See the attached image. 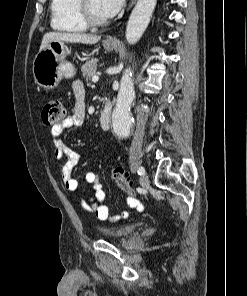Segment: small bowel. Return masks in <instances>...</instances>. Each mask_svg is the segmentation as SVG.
Instances as JSON below:
<instances>
[{"instance_id": "small-bowel-1", "label": "small bowel", "mask_w": 247, "mask_h": 296, "mask_svg": "<svg viewBox=\"0 0 247 296\" xmlns=\"http://www.w3.org/2000/svg\"><path fill=\"white\" fill-rule=\"evenodd\" d=\"M74 95V102L69 115L64 121L55 125L50 130V140L54 147V154L57 160H61L64 156L67 161L62 167L61 175L64 182L65 189L72 194L77 195L79 205L86 212L94 214L99 220H107L109 218V210L103 204L105 200V191L99 181L96 173L88 172L85 175V180L88 184L93 186L92 193H86V198L78 195L80 190L79 182L72 176L74 167L82 159V154L66 146L61 140V134L65 129L79 128L84 124L85 115V89L80 81H74L72 84ZM126 203L129 207H136L139 210L143 206L134 198L126 197ZM128 216V213L123 212L115 217L113 220H118Z\"/></svg>"}]
</instances>
